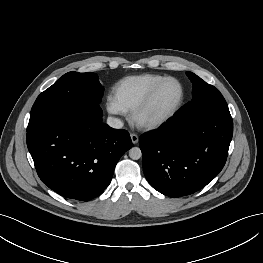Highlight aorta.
<instances>
[{"instance_id":"aorta-1","label":"aorta","mask_w":263,"mask_h":263,"mask_svg":"<svg viewBox=\"0 0 263 263\" xmlns=\"http://www.w3.org/2000/svg\"><path fill=\"white\" fill-rule=\"evenodd\" d=\"M142 156V152L139 147H132L129 150V157L133 160H138Z\"/></svg>"}]
</instances>
